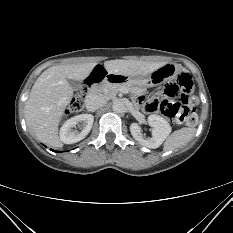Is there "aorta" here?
I'll list each match as a JSON object with an SVG mask.
<instances>
[{
	"instance_id": "obj_1",
	"label": "aorta",
	"mask_w": 233,
	"mask_h": 233,
	"mask_svg": "<svg viewBox=\"0 0 233 233\" xmlns=\"http://www.w3.org/2000/svg\"><path fill=\"white\" fill-rule=\"evenodd\" d=\"M124 104L121 101H116L113 103L112 109L115 113H121L124 111Z\"/></svg>"
}]
</instances>
